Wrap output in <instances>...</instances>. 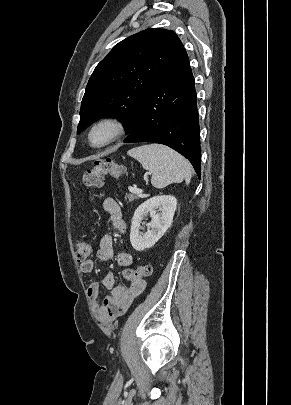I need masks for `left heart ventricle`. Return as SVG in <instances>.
<instances>
[{"label": "left heart ventricle", "mask_w": 291, "mask_h": 405, "mask_svg": "<svg viewBox=\"0 0 291 405\" xmlns=\"http://www.w3.org/2000/svg\"><path fill=\"white\" fill-rule=\"evenodd\" d=\"M107 135H108L107 129L100 128L94 132L92 140L94 143H101L107 138Z\"/></svg>", "instance_id": "b2bd125f"}]
</instances>
